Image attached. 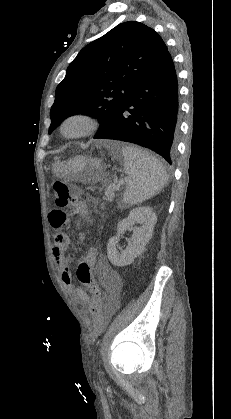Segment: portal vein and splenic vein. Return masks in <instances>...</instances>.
Returning <instances> with one entry per match:
<instances>
[{
  "label": "portal vein and splenic vein",
  "instance_id": "1",
  "mask_svg": "<svg viewBox=\"0 0 231 419\" xmlns=\"http://www.w3.org/2000/svg\"><path fill=\"white\" fill-rule=\"evenodd\" d=\"M116 184H119L117 180H115L113 184H110L108 188L116 190L118 188Z\"/></svg>",
  "mask_w": 231,
  "mask_h": 419
}]
</instances>
